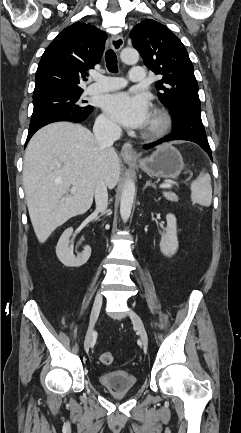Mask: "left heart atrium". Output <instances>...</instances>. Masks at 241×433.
<instances>
[{
    "label": "left heart atrium",
    "mask_w": 241,
    "mask_h": 433,
    "mask_svg": "<svg viewBox=\"0 0 241 433\" xmlns=\"http://www.w3.org/2000/svg\"><path fill=\"white\" fill-rule=\"evenodd\" d=\"M102 105L111 119L126 128H143L151 118L150 103L144 95L117 92L105 96Z\"/></svg>",
    "instance_id": "39dd6f15"
}]
</instances>
